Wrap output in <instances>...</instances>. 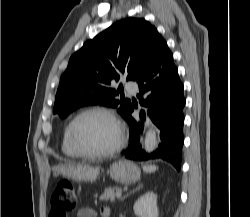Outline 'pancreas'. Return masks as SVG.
I'll return each instance as SVG.
<instances>
[{"label": "pancreas", "instance_id": "obj_1", "mask_svg": "<svg viewBox=\"0 0 250 217\" xmlns=\"http://www.w3.org/2000/svg\"><path fill=\"white\" fill-rule=\"evenodd\" d=\"M119 192H121V188L119 187L106 188L104 192L101 194L99 199L102 201H107V200L114 201L115 197L117 196V193ZM95 197H97V195Z\"/></svg>", "mask_w": 250, "mask_h": 217}]
</instances>
